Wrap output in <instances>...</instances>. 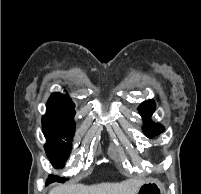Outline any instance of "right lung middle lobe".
<instances>
[{"label": "right lung middle lobe", "instance_id": "dd1d6c3e", "mask_svg": "<svg viewBox=\"0 0 201 194\" xmlns=\"http://www.w3.org/2000/svg\"><path fill=\"white\" fill-rule=\"evenodd\" d=\"M42 131L47 139L45 151L54 167H63L70 150L71 141L75 132L73 118L58 109L47 108L46 115L42 118ZM51 182L65 181L64 178L51 175L48 179Z\"/></svg>", "mask_w": 201, "mask_h": 194}]
</instances>
